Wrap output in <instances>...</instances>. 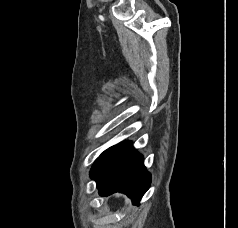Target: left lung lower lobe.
I'll list each match as a JSON object with an SVG mask.
<instances>
[{"label":"left lung lower lobe","instance_id":"1","mask_svg":"<svg viewBox=\"0 0 238 228\" xmlns=\"http://www.w3.org/2000/svg\"><path fill=\"white\" fill-rule=\"evenodd\" d=\"M91 178L96 181L100 195L123 192L134 204L139 203L151 183L143 157L134 150L131 142L110 147Z\"/></svg>","mask_w":238,"mask_h":228}]
</instances>
